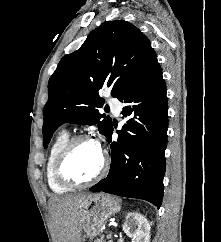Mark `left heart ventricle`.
<instances>
[{"instance_id": "left-heart-ventricle-1", "label": "left heart ventricle", "mask_w": 221, "mask_h": 242, "mask_svg": "<svg viewBox=\"0 0 221 242\" xmlns=\"http://www.w3.org/2000/svg\"><path fill=\"white\" fill-rule=\"evenodd\" d=\"M101 161V150L96 143L82 141L72 150L65 165V173L77 180H87L97 173Z\"/></svg>"}]
</instances>
